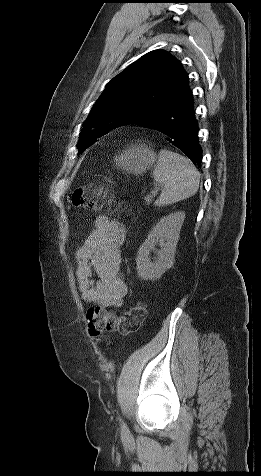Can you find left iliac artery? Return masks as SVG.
Returning a JSON list of instances; mask_svg holds the SVG:
<instances>
[{
  "instance_id": "44dca946",
  "label": "left iliac artery",
  "mask_w": 261,
  "mask_h": 476,
  "mask_svg": "<svg viewBox=\"0 0 261 476\" xmlns=\"http://www.w3.org/2000/svg\"><path fill=\"white\" fill-rule=\"evenodd\" d=\"M121 428H122V430H123L124 432H128V428H127V426H126V424H125L124 422H122Z\"/></svg>"
}]
</instances>
